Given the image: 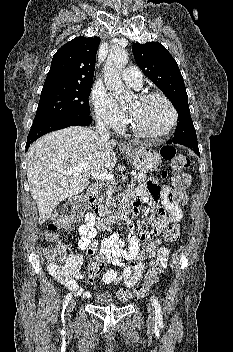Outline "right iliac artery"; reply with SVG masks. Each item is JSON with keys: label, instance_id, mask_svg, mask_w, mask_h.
Listing matches in <instances>:
<instances>
[{"label": "right iliac artery", "instance_id": "right-iliac-artery-1", "mask_svg": "<svg viewBox=\"0 0 233 352\" xmlns=\"http://www.w3.org/2000/svg\"><path fill=\"white\" fill-rule=\"evenodd\" d=\"M71 298H72V293H68L67 295H66V297H65V300H64V302H63V309H62V321L64 322V312H65V308H66V306L68 305V303H69V301L71 300Z\"/></svg>", "mask_w": 233, "mask_h": 352}]
</instances>
